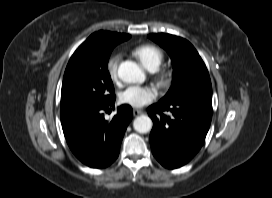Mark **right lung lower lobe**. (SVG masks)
Returning a JSON list of instances; mask_svg holds the SVG:
<instances>
[{"label": "right lung lower lobe", "instance_id": "98d812e1", "mask_svg": "<svg viewBox=\"0 0 272 198\" xmlns=\"http://www.w3.org/2000/svg\"><path fill=\"white\" fill-rule=\"evenodd\" d=\"M114 102L115 99L106 104L81 105L60 111L68 146L89 167H107L118 157L133 113L129 105H122L111 121L105 120L103 112L111 110Z\"/></svg>", "mask_w": 272, "mask_h": 198}]
</instances>
